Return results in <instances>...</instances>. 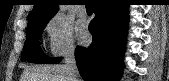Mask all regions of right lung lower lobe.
<instances>
[{
	"label": "right lung lower lobe",
	"mask_w": 169,
	"mask_h": 81,
	"mask_svg": "<svg viewBox=\"0 0 169 81\" xmlns=\"http://www.w3.org/2000/svg\"><path fill=\"white\" fill-rule=\"evenodd\" d=\"M94 19L89 25L93 36L88 48L77 46L75 58L84 81H118L128 24V5L118 0H97ZM54 58L49 64H57Z\"/></svg>",
	"instance_id": "1"
}]
</instances>
